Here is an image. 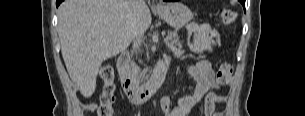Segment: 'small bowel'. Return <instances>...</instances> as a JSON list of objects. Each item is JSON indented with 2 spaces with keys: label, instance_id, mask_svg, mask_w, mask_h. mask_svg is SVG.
<instances>
[{
  "label": "small bowel",
  "instance_id": "small-bowel-1",
  "mask_svg": "<svg viewBox=\"0 0 305 116\" xmlns=\"http://www.w3.org/2000/svg\"><path fill=\"white\" fill-rule=\"evenodd\" d=\"M190 75L196 81L192 95L182 96L173 107L169 97H163L160 102L165 116H191L195 107L204 102L205 116H221L216 112V105L225 101L223 95H217L218 85L215 82L214 71L210 62L203 60L189 68Z\"/></svg>",
  "mask_w": 305,
  "mask_h": 116
}]
</instances>
